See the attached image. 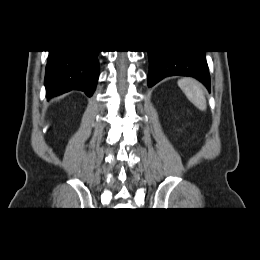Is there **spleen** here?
Masks as SVG:
<instances>
[{
	"label": "spleen",
	"instance_id": "spleen-1",
	"mask_svg": "<svg viewBox=\"0 0 260 260\" xmlns=\"http://www.w3.org/2000/svg\"><path fill=\"white\" fill-rule=\"evenodd\" d=\"M178 86L184 92L188 100L199 110H206V98L203 86L191 78H183L178 81Z\"/></svg>",
	"mask_w": 260,
	"mask_h": 260
}]
</instances>
